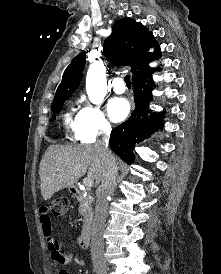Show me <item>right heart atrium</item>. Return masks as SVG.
I'll use <instances>...</instances> for the list:
<instances>
[{
    "instance_id": "d8ad5b80",
    "label": "right heart atrium",
    "mask_w": 221,
    "mask_h": 274,
    "mask_svg": "<svg viewBox=\"0 0 221 274\" xmlns=\"http://www.w3.org/2000/svg\"><path fill=\"white\" fill-rule=\"evenodd\" d=\"M111 132V124L98 106L84 103L79 111L73 134L82 143H92Z\"/></svg>"
}]
</instances>
